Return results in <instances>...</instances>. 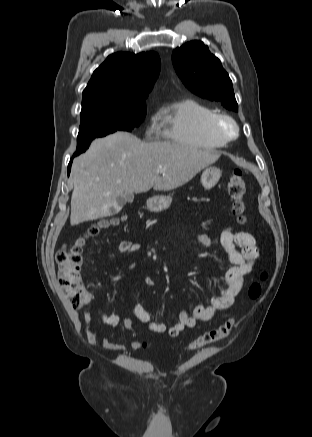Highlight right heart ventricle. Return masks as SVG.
<instances>
[{
  "instance_id": "obj_1",
  "label": "right heart ventricle",
  "mask_w": 312,
  "mask_h": 437,
  "mask_svg": "<svg viewBox=\"0 0 312 437\" xmlns=\"http://www.w3.org/2000/svg\"><path fill=\"white\" fill-rule=\"evenodd\" d=\"M215 111L195 99H184L172 104L160 118L163 140L184 146L204 149L222 148L226 142L213 136L207 127Z\"/></svg>"
}]
</instances>
